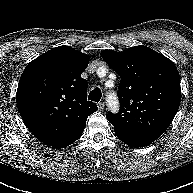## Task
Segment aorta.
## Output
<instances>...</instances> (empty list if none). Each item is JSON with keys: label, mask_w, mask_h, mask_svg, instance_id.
Here are the masks:
<instances>
[{"label": "aorta", "mask_w": 193, "mask_h": 193, "mask_svg": "<svg viewBox=\"0 0 193 193\" xmlns=\"http://www.w3.org/2000/svg\"><path fill=\"white\" fill-rule=\"evenodd\" d=\"M111 103H112L113 105L116 104L115 98H114V100H112Z\"/></svg>", "instance_id": "1"}]
</instances>
